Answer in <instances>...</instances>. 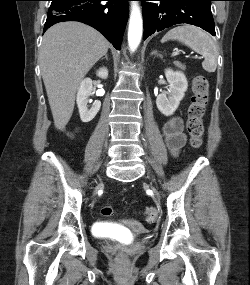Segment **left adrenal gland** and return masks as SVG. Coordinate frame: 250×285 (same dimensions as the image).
Instances as JSON below:
<instances>
[{
    "instance_id": "a2214340",
    "label": "left adrenal gland",
    "mask_w": 250,
    "mask_h": 285,
    "mask_svg": "<svg viewBox=\"0 0 250 285\" xmlns=\"http://www.w3.org/2000/svg\"><path fill=\"white\" fill-rule=\"evenodd\" d=\"M151 55H154V56H156V57L162 58V55H161L160 53H158L157 50L153 51V52L151 53Z\"/></svg>"
}]
</instances>
